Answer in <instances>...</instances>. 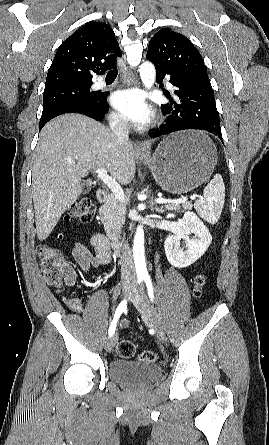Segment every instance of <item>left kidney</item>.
<instances>
[{"label":"left kidney","mask_w":269,"mask_h":445,"mask_svg":"<svg viewBox=\"0 0 269 445\" xmlns=\"http://www.w3.org/2000/svg\"><path fill=\"white\" fill-rule=\"evenodd\" d=\"M182 230L177 235L168 236L164 242L167 260L177 268H185L197 261L207 250L212 241L208 228L193 212H186L181 221ZM189 234H194L186 244V250L181 249L180 240Z\"/></svg>","instance_id":"left-kidney-1"}]
</instances>
